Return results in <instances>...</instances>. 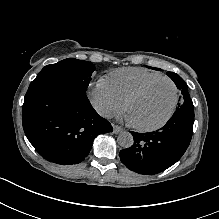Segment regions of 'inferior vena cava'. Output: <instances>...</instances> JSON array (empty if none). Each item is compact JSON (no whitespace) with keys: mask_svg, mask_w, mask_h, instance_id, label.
I'll return each instance as SVG.
<instances>
[{"mask_svg":"<svg viewBox=\"0 0 219 219\" xmlns=\"http://www.w3.org/2000/svg\"><path fill=\"white\" fill-rule=\"evenodd\" d=\"M106 112H107V109H103V116H105V117H109V115H106Z\"/></svg>","mask_w":219,"mask_h":219,"instance_id":"602c4592","label":"inferior vena cava"}]
</instances>
